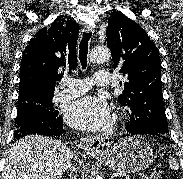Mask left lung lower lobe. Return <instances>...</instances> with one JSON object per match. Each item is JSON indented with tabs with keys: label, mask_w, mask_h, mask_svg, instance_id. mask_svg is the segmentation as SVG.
<instances>
[{
	"label": "left lung lower lobe",
	"mask_w": 183,
	"mask_h": 179,
	"mask_svg": "<svg viewBox=\"0 0 183 179\" xmlns=\"http://www.w3.org/2000/svg\"><path fill=\"white\" fill-rule=\"evenodd\" d=\"M126 130H127V132H128L130 135L141 134V133L133 132L129 127H126ZM129 134H126V135H123V136L125 137V136H128ZM158 137H162V138L165 139V140H169V138H168L167 136H158Z\"/></svg>",
	"instance_id": "0a47b994"
}]
</instances>
